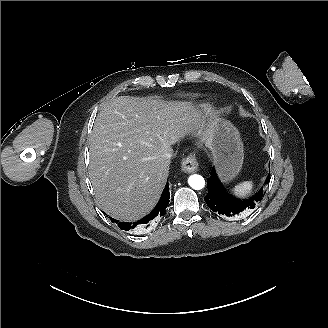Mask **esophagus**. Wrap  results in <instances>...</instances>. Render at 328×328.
Segmentation results:
<instances>
[{
    "instance_id": "1",
    "label": "esophagus",
    "mask_w": 328,
    "mask_h": 328,
    "mask_svg": "<svg viewBox=\"0 0 328 328\" xmlns=\"http://www.w3.org/2000/svg\"><path fill=\"white\" fill-rule=\"evenodd\" d=\"M182 171L185 173H194L198 171V162L194 154H190L182 160Z\"/></svg>"
}]
</instances>
